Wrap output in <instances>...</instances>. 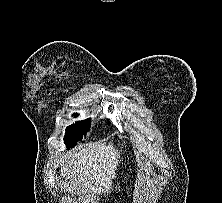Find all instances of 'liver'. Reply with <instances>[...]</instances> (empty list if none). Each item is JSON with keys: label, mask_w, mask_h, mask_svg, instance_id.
I'll list each match as a JSON object with an SVG mask.
<instances>
[{"label": "liver", "mask_w": 222, "mask_h": 203, "mask_svg": "<svg viewBox=\"0 0 222 203\" xmlns=\"http://www.w3.org/2000/svg\"><path fill=\"white\" fill-rule=\"evenodd\" d=\"M119 159L120 152L113 143H90L79 152L64 154L60 159L61 186L66 190L79 186L83 203H98L96 194L111 193Z\"/></svg>", "instance_id": "1"}]
</instances>
